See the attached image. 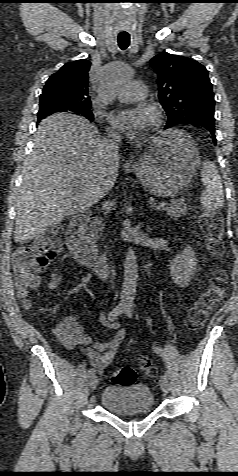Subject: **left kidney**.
Listing matches in <instances>:
<instances>
[{"label": "left kidney", "mask_w": 238, "mask_h": 476, "mask_svg": "<svg viewBox=\"0 0 238 476\" xmlns=\"http://www.w3.org/2000/svg\"><path fill=\"white\" fill-rule=\"evenodd\" d=\"M197 265V259L193 249L188 246L184 251L177 255L170 263V274L174 282L182 287L189 284L194 275Z\"/></svg>", "instance_id": "5707ae66"}]
</instances>
